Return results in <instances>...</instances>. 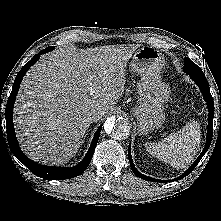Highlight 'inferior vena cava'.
<instances>
[{
  "mask_svg": "<svg viewBox=\"0 0 221 221\" xmlns=\"http://www.w3.org/2000/svg\"><path fill=\"white\" fill-rule=\"evenodd\" d=\"M102 114L103 112H94L90 115L89 119L91 122H96L101 118Z\"/></svg>",
  "mask_w": 221,
  "mask_h": 221,
  "instance_id": "602c4592",
  "label": "inferior vena cava"
}]
</instances>
